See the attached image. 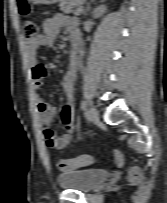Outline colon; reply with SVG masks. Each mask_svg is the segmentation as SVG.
Wrapping results in <instances>:
<instances>
[{
  "label": "colon",
  "instance_id": "5ec220e1",
  "mask_svg": "<svg viewBox=\"0 0 167 203\" xmlns=\"http://www.w3.org/2000/svg\"><path fill=\"white\" fill-rule=\"evenodd\" d=\"M18 8H19V12L23 16L29 15L30 6L26 0H19L18 1ZM23 33H24V36L27 40H30V39L37 37L40 33V26H39L38 22L34 19H30V18L26 19L24 21ZM112 156H113L114 161L117 164L122 163V155L119 151L114 150L112 152ZM96 161H97L96 157L91 156V155H86V156H82L80 158L73 159V160L60 159L57 162V167L62 171H68V170L76 169L78 167L93 164ZM138 175H139L138 168L132 167L129 171V179L135 180L138 178Z\"/></svg>",
  "mask_w": 167,
  "mask_h": 203
}]
</instances>
